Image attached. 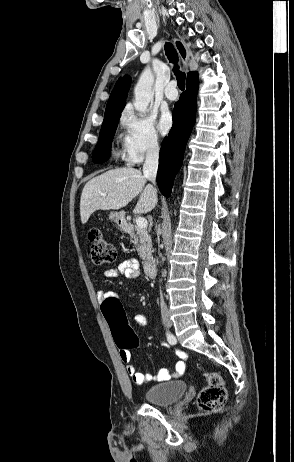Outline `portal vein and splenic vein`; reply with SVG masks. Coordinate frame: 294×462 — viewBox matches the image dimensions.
<instances>
[{
  "label": "portal vein and splenic vein",
  "instance_id": "portal-vein-and-splenic-vein-1",
  "mask_svg": "<svg viewBox=\"0 0 294 462\" xmlns=\"http://www.w3.org/2000/svg\"><path fill=\"white\" fill-rule=\"evenodd\" d=\"M136 224H137V227L140 228V229H145L148 225V222L145 218L143 217H138L136 219Z\"/></svg>",
  "mask_w": 294,
  "mask_h": 462
}]
</instances>
